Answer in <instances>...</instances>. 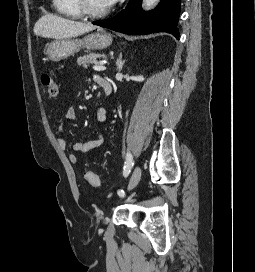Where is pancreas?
<instances>
[{
    "instance_id": "obj_1",
    "label": "pancreas",
    "mask_w": 255,
    "mask_h": 272,
    "mask_svg": "<svg viewBox=\"0 0 255 272\" xmlns=\"http://www.w3.org/2000/svg\"><path fill=\"white\" fill-rule=\"evenodd\" d=\"M102 57L100 54L90 53L89 55H84L83 57H79L77 59V63L79 66H83L87 68L91 63L95 62L97 58Z\"/></svg>"
}]
</instances>
